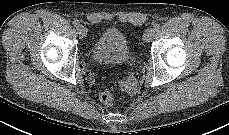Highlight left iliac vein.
Listing matches in <instances>:
<instances>
[{
  "label": "left iliac vein",
  "mask_w": 229,
  "mask_h": 135,
  "mask_svg": "<svg viewBox=\"0 0 229 135\" xmlns=\"http://www.w3.org/2000/svg\"><path fill=\"white\" fill-rule=\"evenodd\" d=\"M154 37V30L152 28H148L145 30L143 34V39L145 42H151Z\"/></svg>",
  "instance_id": "4c4485c4"
}]
</instances>
